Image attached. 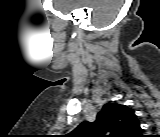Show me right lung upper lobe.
<instances>
[{"label": "right lung upper lobe", "mask_w": 160, "mask_h": 137, "mask_svg": "<svg viewBox=\"0 0 160 137\" xmlns=\"http://www.w3.org/2000/svg\"><path fill=\"white\" fill-rule=\"evenodd\" d=\"M73 132L81 137H138L142 129L134 111L121 104L107 103L94 122L84 121Z\"/></svg>", "instance_id": "right-lung-upper-lobe-1"}]
</instances>
